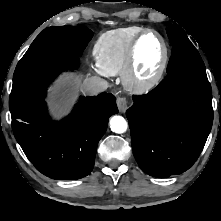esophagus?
<instances>
[{"mask_svg": "<svg viewBox=\"0 0 221 221\" xmlns=\"http://www.w3.org/2000/svg\"><path fill=\"white\" fill-rule=\"evenodd\" d=\"M117 106H118V109L121 113H125L126 110H127V106H128V102L126 100L125 97H118L117 98Z\"/></svg>", "mask_w": 221, "mask_h": 221, "instance_id": "34e87169", "label": "esophagus"}]
</instances>
